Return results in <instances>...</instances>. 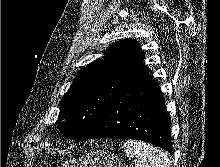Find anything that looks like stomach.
I'll use <instances>...</instances> for the list:
<instances>
[{"mask_svg": "<svg viewBox=\"0 0 220 167\" xmlns=\"http://www.w3.org/2000/svg\"><path fill=\"white\" fill-rule=\"evenodd\" d=\"M62 167H121V161L114 154L97 150L78 159L68 160Z\"/></svg>", "mask_w": 220, "mask_h": 167, "instance_id": "stomach-1", "label": "stomach"}]
</instances>
